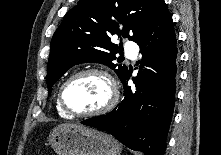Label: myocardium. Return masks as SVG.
Segmentation results:
<instances>
[{
    "label": "myocardium",
    "mask_w": 221,
    "mask_h": 155,
    "mask_svg": "<svg viewBox=\"0 0 221 155\" xmlns=\"http://www.w3.org/2000/svg\"><path fill=\"white\" fill-rule=\"evenodd\" d=\"M88 74L99 75L105 79L109 88L108 99L106 103L102 107L98 108L97 110L90 111V112H83V113L72 111L67 106L65 99H64L66 87L74 79L83 75H88ZM118 98H119V91H118V87H117L115 79L108 71L102 68H98V67L84 68L73 73L63 82L58 93V102H59L60 107L63 109V111H65L69 116L77 117V118H90V117H97V116L104 115L115 107V105L118 102Z\"/></svg>",
    "instance_id": "1"
}]
</instances>
